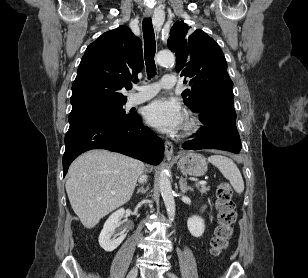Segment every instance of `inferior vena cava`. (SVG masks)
I'll return each instance as SVG.
<instances>
[{
	"mask_svg": "<svg viewBox=\"0 0 308 278\" xmlns=\"http://www.w3.org/2000/svg\"><path fill=\"white\" fill-rule=\"evenodd\" d=\"M146 180H147V176H146V175L141 174V175L139 176V182H140V183L145 182Z\"/></svg>",
	"mask_w": 308,
	"mask_h": 278,
	"instance_id": "inferior-vena-cava-1",
	"label": "inferior vena cava"
}]
</instances>
